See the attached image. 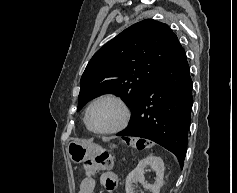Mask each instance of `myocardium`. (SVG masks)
<instances>
[{
  "label": "myocardium",
  "instance_id": "myocardium-1",
  "mask_svg": "<svg viewBox=\"0 0 237 193\" xmlns=\"http://www.w3.org/2000/svg\"><path fill=\"white\" fill-rule=\"evenodd\" d=\"M104 100H109V101H113L114 103H116L121 111H122V117L120 122L113 128L111 129H107V130H97L95 129L91 123H90V112L92 110V108L99 102L104 101ZM131 119V112L130 109L128 107V105L118 96L113 95V94H104L101 95L97 98H95L87 107L86 112H85V123L88 127V129L90 131H92L95 134H99V135H110V134H116L122 130H124Z\"/></svg>",
  "mask_w": 237,
  "mask_h": 193
}]
</instances>
